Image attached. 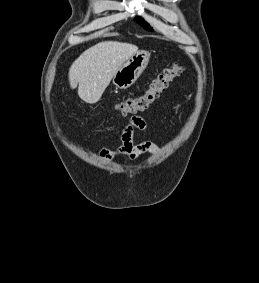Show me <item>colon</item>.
Returning <instances> with one entry per match:
<instances>
[{
    "mask_svg": "<svg viewBox=\"0 0 259 283\" xmlns=\"http://www.w3.org/2000/svg\"><path fill=\"white\" fill-rule=\"evenodd\" d=\"M183 70V66L178 63L164 69L154 78L144 94L122 100L115 105V109L123 116L146 110L168 88L173 79L183 73Z\"/></svg>",
    "mask_w": 259,
    "mask_h": 283,
    "instance_id": "1",
    "label": "colon"
}]
</instances>
